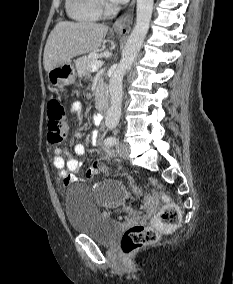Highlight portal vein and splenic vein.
<instances>
[{
    "instance_id": "18ae733b",
    "label": "portal vein and splenic vein",
    "mask_w": 233,
    "mask_h": 284,
    "mask_svg": "<svg viewBox=\"0 0 233 284\" xmlns=\"http://www.w3.org/2000/svg\"><path fill=\"white\" fill-rule=\"evenodd\" d=\"M103 62L99 60H93L90 62L91 70L97 71L100 67H102Z\"/></svg>"
}]
</instances>
